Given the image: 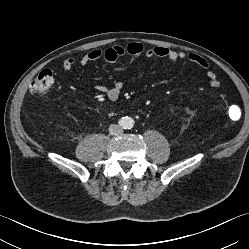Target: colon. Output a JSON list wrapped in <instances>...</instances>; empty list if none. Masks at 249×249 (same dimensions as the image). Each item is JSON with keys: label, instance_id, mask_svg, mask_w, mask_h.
<instances>
[{"label": "colon", "instance_id": "colon-1", "mask_svg": "<svg viewBox=\"0 0 249 249\" xmlns=\"http://www.w3.org/2000/svg\"><path fill=\"white\" fill-rule=\"evenodd\" d=\"M54 83V75L50 69L42 70L30 85V90L33 94L41 97H45L50 92ZM241 111L236 106L229 108V115L231 118H239Z\"/></svg>", "mask_w": 249, "mask_h": 249}]
</instances>
